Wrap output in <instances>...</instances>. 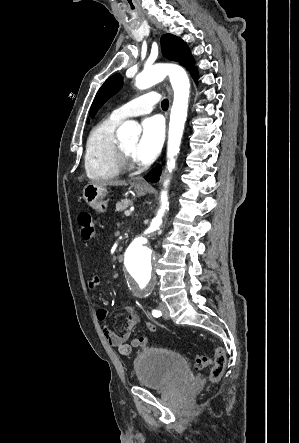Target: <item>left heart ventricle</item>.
<instances>
[{
    "label": "left heart ventricle",
    "mask_w": 299,
    "mask_h": 443,
    "mask_svg": "<svg viewBox=\"0 0 299 443\" xmlns=\"http://www.w3.org/2000/svg\"><path fill=\"white\" fill-rule=\"evenodd\" d=\"M125 150L136 160L135 149L138 144V138L122 142ZM137 161V160H136Z\"/></svg>",
    "instance_id": "b2bd125f"
}]
</instances>
